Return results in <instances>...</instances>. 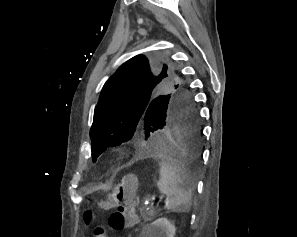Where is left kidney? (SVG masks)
Segmentation results:
<instances>
[{
	"label": "left kidney",
	"instance_id": "1",
	"mask_svg": "<svg viewBox=\"0 0 297 237\" xmlns=\"http://www.w3.org/2000/svg\"><path fill=\"white\" fill-rule=\"evenodd\" d=\"M175 226L167 218H159L147 228L148 237H174Z\"/></svg>",
	"mask_w": 297,
	"mask_h": 237
}]
</instances>
